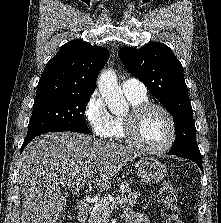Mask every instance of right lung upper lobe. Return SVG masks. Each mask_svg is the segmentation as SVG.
I'll return each instance as SVG.
<instances>
[{
	"instance_id": "obj_1",
	"label": "right lung upper lobe",
	"mask_w": 221,
	"mask_h": 223,
	"mask_svg": "<svg viewBox=\"0 0 221 223\" xmlns=\"http://www.w3.org/2000/svg\"><path fill=\"white\" fill-rule=\"evenodd\" d=\"M107 60L105 47L92 46L78 39L64 44L44 68L35 100L92 94L97 76Z\"/></svg>"
}]
</instances>
